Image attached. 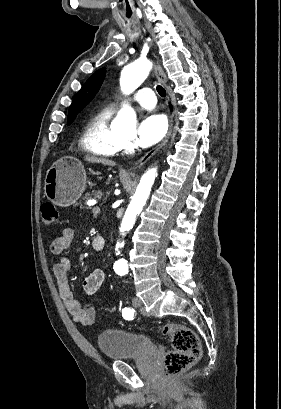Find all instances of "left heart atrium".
<instances>
[{"label":"left heart atrium","mask_w":281,"mask_h":409,"mask_svg":"<svg viewBox=\"0 0 281 409\" xmlns=\"http://www.w3.org/2000/svg\"><path fill=\"white\" fill-rule=\"evenodd\" d=\"M166 130L165 117L151 114L140 123L133 141L140 147L148 148L157 144L164 137Z\"/></svg>","instance_id":"obj_1"}]
</instances>
